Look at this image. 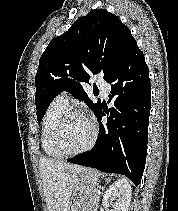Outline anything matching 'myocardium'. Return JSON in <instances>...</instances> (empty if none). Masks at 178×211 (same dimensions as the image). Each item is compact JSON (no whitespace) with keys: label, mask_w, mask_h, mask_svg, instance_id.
Here are the masks:
<instances>
[{"label":"myocardium","mask_w":178,"mask_h":211,"mask_svg":"<svg viewBox=\"0 0 178 211\" xmlns=\"http://www.w3.org/2000/svg\"><path fill=\"white\" fill-rule=\"evenodd\" d=\"M74 116L84 117L90 122L91 128H92L91 139H90L89 143L82 149L75 151V152H68V151H65L62 147V138H63L64 132L68 125L69 120ZM97 135H98V127H97V124L95 123V121L91 117H89L87 114H85L84 112H82L80 110L71 109V110H68L64 114V116L61 120V123L57 130L55 144H56L57 150L62 155V157H74V156H77V155H80V154H83V153L89 151L94 146V144L97 140Z\"/></svg>","instance_id":"f54148a6"}]
</instances>
